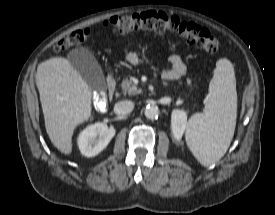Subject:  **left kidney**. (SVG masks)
<instances>
[{
    "label": "left kidney",
    "instance_id": "left-kidney-1",
    "mask_svg": "<svg viewBox=\"0 0 275 215\" xmlns=\"http://www.w3.org/2000/svg\"><path fill=\"white\" fill-rule=\"evenodd\" d=\"M187 127V113L183 110H174L171 115V128L176 140H181Z\"/></svg>",
    "mask_w": 275,
    "mask_h": 215
}]
</instances>
